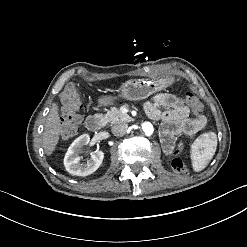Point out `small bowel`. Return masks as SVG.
<instances>
[{
	"mask_svg": "<svg viewBox=\"0 0 247 247\" xmlns=\"http://www.w3.org/2000/svg\"><path fill=\"white\" fill-rule=\"evenodd\" d=\"M145 110L151 119L163 121L162 141L167 153H170L175 135L181 133L192 138L205 124L203 115L194 113L191 118L187 103L170 93L155 94L146 103Z\"/></svg>",
	"mask_w": 247,
	"mask_h": 247,
	"instance_id": "1",
	"label": "small bowel"
}]
</instances>
